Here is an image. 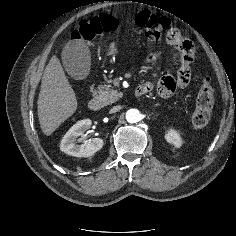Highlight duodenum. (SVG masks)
<instances>
[{"label":"duodenum","instance_id":"duodenum-1","mask_svg":"<svg viewBox=\"0 0 236 236\" xmlns=\"http://www.w3.org/2000/svg\"><path fill=\"white\" fill-rule=\"evenodd\" d=\"M149 92V88L141 85L139 87L136 88L135 90V96L136 97H141L144 94ZM101 107V99L96 91L95 86L91 87V99L89 101V108L93 111H97L99 110Z\"/></svg>","mask_w":236,"mask_h":236}]
</instances>
